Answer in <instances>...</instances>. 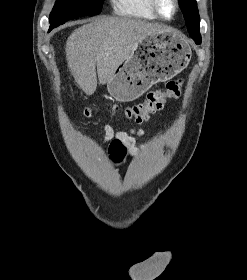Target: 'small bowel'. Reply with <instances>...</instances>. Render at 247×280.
<instances>
[{"label":"small bowel","mask_w":247,"mask_h":280,"mask_svg":"<svg viewBox=\"0 0 247 280\" xmlns=\"http://www.w3.org/2000/svg\"><path fill=\"white\" fill-rule=\"evenodd\" d=\"M105 137L104 142L118 140L122 145L127 148L132 156H136L138 148L135 144L134 136H141L144 134L143 130H131L130 132L116 131L111 125L105 124Z\"/></svg>","instance_id":"c3829d8e"}]
</instances>
